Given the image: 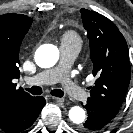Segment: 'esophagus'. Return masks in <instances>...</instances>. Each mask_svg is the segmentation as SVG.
<instances>
[{
	"instance_id": "1",
	"label": "esophagus",
	"mask_w": 133,
	"mask_h": 133,
	"mask_svg": "<svg viewBox=\"0 0 133 133\" xmlns=\"http://www.w3.org/2000/svg\"><path fill=\"white\" fill-rule=\"evenodd\" d=\"M52 99L57 102V103H63L65 100L64 98H59V97H52Z\"/></svg>"
}]
</instances>
